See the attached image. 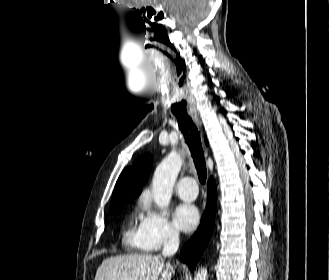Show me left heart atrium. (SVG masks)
Listing matches in <instances>:
<instances>
[{
  "label": "left heart atrium",
  "mask_w": 329,
  "mask_h": 280,
  "mask_svg": "<svg viewBox=\"0 0 329 280\" xmlns=\"http://www.w3.org/2000/svg\"><path fill=\"white\" fill-rule=\"evenodd\" d=\"M175 222L181 230L193 231L199 223L198 209L189 203L180 204L175 210Z\"/></svg>",
  "instance_id": "39dd6f15"
}]
</instances>
